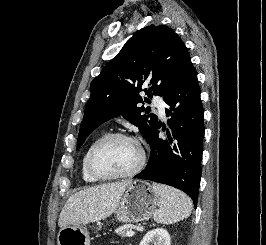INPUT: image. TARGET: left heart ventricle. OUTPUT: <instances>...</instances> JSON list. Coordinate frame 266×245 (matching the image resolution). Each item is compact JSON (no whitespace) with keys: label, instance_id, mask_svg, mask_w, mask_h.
<instances>
[{"label":"left heart ventricle","instance_id":"left-heart-ventricle-1","mask_svg":"<svg viewBox=\"0 0 266 245\" xmlns=\"http://www.w3.org/2000/svg\"><path fill=\"white\" fill-rule=\"evenodd\" d=\"M139 149L131 141L112 139L97 152L95 164L106 175H121L130 172L139 160Z\"/></svg>","mask_w":266,"mask_h":245}]
</instances>
